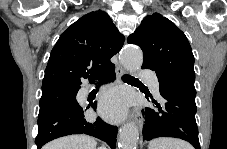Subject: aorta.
<instances>
[{"label": "aorta", "instance_id": "obj_1", "mask_svg": "<svg viewBox=\"0 0 227 149\" xmlns=\"http://www.w3.org/2000/svg\"><path fill=\"white\" fill-rule=\"evenodd\" d=\"M120 59L125 68L130 71L138 70L143 64V53L140 48L128 46L121 52ZM139 132L134 123H126L119 132L120 149H136Z\"/></svg>", "mask_w": 227, "mask_h": 149}]
</instances>
